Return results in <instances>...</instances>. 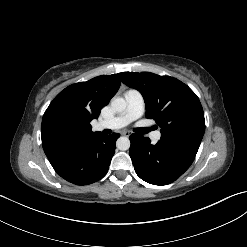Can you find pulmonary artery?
<instances>
[{
	"label": "pulmonary artery",
	"mask_w": 247,
	"mask_h": 247,
	"mask_svg": "<svg viewBox=\"0 0 247 247\" xmlns=\"http://www.w3.org/2000/svg\"><path fill=\"white\" fill-rule=\"evenodd\" d=\"M126 100V109L118 116L103 120L97 124L98 129H120L128 125L133 120L139 118L144 112V98L142 94L135 89H129L124 94ZM161 133L156 131L152 133L151 138L158 141Z\"/></svg>",
	"instance_id": "1"
}]
</instances>
